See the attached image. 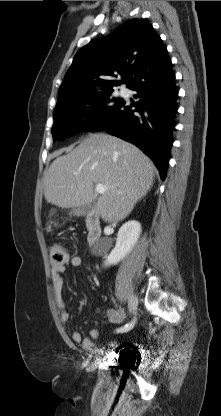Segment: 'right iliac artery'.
<instances>
[{
	"mask_svg": "<svg viewBox=\"0 0 221 416\" xmlns=\"http://www.w3.org/2000/svg\"><path fill=\"white\" fill-rule=\"evenodd\" d=\"M135 323H136V319H133L130 323H128V324H126V325L118 328L116 330V332L117 333H119V332L120 333H123V332L129 331V330H131L134 327Z\"/></svg>",
	"mask_w": 221,
	"mask_h": 416,
	"instance_id": "1",
	"label": "right iliac artery"
}]
</instances>
